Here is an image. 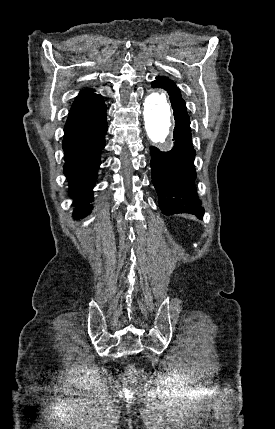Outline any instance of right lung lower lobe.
Segmentation results:
<instances>
[{
	"mask_svg": "<svg viewBox=\"0 0 275 429\" xmlns=\"http://www.w3.org/2000/svg\"><path fill=\"white\" fill-rule=\"evenodd\" d=\"M107 131L106 108L87 120L66 124L63 150L64 174L69 181V193L76 202L75 218L87 215L92 206V189L100 166V153Z\"/></svg>",
	"mask_w": 275,
	"mask_h": 429,
	"instance_id": "obj_1",
	"label": "right lung lower lobe"
}]
</instances>
